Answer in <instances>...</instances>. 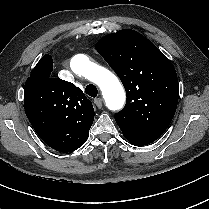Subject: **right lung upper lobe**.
I'll return each mask as SVG.
<instances>
[{"mask_svg": "<svg viewBox=\"0 0 209 209\" xmlns=\"http://www.w3.org/2000/svg\"><path fill=\"white\" fill-rule=\"evenodd\" d=\"M53 60L44 55L24 86V109L35 129H50L71 151L83 145L94 120V108L73 83L53 78Z\"/></svg>", "mask_w": 209, "mask_h": 209, "instance_id": "obj_1", "label": "right lung upper lobe"}]
</instances>
